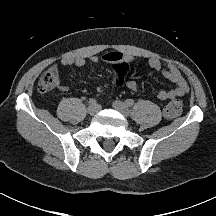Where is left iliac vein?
I'll return each instance as SVG.
<instances>
[{
	"instance_id": "obj_1",
	"label": "left iliac vein",
	"mask_w": 216,
	"mask_h": 216,
	"mask_svg": "<svg viewBox=\"0 0 216 216\" xmlns=\"http://www.w3.org/2000/svg\"><path fill=\"white\" fill-rule=\"evenodd\" d=\"M113 107L115 110L120 112L125 117L129 116V114H130V111H129L127 105L121 101H118V100L114 101Z\"/></svg>"
}]
</instances>
